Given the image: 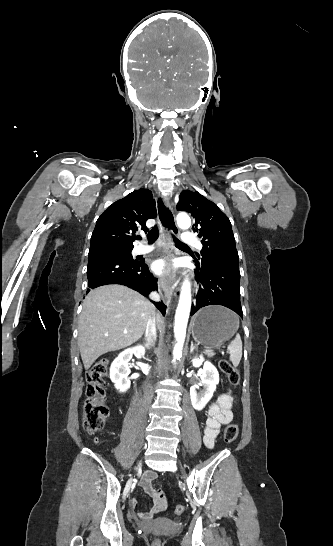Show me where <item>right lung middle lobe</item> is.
Listing matches in <instances>:
<instances>
[{
    "label": "right lung middle lobe",
    "mask_w": 333,
    "mask_h": 546,
    "mask_svg": "<svg viewBox=\"0 0 333 546\" xmlns=\"http://www.w3.org/2000/svg\"><path fill=\"white\" fill-rule=\"evenodd\" d=\"M132 249H133V247H108V248H103V250L118 253V254H120V255L128 258V259H133V256L131 255Z\"/></svg>",
    "instance_id": "obj_1"
}]
</instances>
